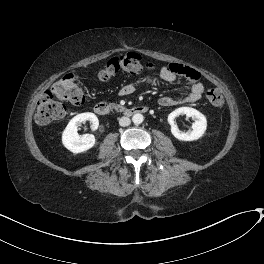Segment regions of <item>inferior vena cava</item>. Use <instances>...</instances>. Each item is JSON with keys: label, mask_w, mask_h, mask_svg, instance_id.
I'll list each match as a JSON object with an SVG mask.
<instances>
[{"label": "inferior vena cava", "mask_w": 264, "mask_h": 264, "mask_svg": "<svg viewBox=\"0 0 264 264\" xmlns=\"http://www.w3.org/2000/svg\"><path fill=\"white\" fill-rule=\"evenodd\" d=\"M130 123H131V120L128 117H121L119 119V125L122 126V127L129 126Z\"/></svg>", "instance_id": "inferior-vena-cava-1"}]
</instances>
